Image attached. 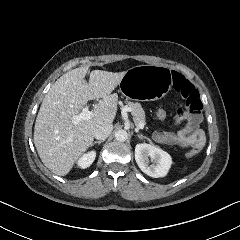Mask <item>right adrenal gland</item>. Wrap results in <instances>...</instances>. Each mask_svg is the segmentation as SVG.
I'll return each instance as SVG.
<instances>
[{"label": "right adrenal gland", "instance_id": "1", "mask_svg": "<svg viewBox=\"0 0 240 240\" xmlns=\"http://www.w3.org/2000/svg\"><path fill=\"white\" fill-rule=\"evenodd\" d=\"M102 142H104V140H96V141L91 142L90 145H93V144H95V143L100 144V143H102Z\"/></svg>", "mask_w": 240, "mask_h": 240}]
</instances>
